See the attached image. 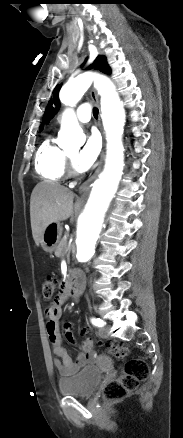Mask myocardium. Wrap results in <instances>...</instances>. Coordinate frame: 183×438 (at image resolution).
<instances>
[{
	"mask_svg": "<svg viewBox=\"0 0 183 438\" xmlns=\"http://www.w3.org/2000/svg\"><path fill=\"white\" fill-rule=\"evenodd\" d=\"M68 158H69V160H70V161H69V166H68L69 174H70V175H77V174H78V170H77L76 167L74 166L71 157H68Z\"/></svg>",
	"mask_w": 183,
	"mask_h": 438,
	"instance_id": "obj_1",
	"label": "myocardium"
}]
</instances>
